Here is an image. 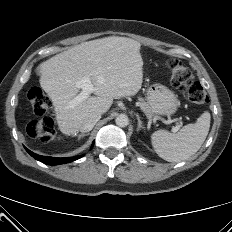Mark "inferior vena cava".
<instances>
[{
    "mask_svg": "<svg viewBox=\"0 0 232 232\" xmlns=\"http://www.w3.org/2000/svg\"><path fill=\"white\" fill-rule=\"evenodd\" d=\"M101 118V114L100 113H96V114H92L90 115L85 122L82 124V126L80 127V131L81 132H88L90 130H92V128L94 127V125L97 123V121Z\"/></svg>",
    "mask_w": 232,
    "mask_h": 232,
    "instance_id": "obj_1",
    "label": "inferior vena cava"
}]
</instances>
